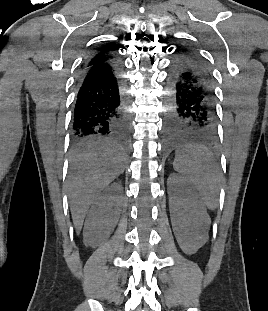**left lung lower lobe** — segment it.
Segmentation results:
<instances>
[{"mask_svg":"<svg viewBox=\"0 0 268 311\" xmlns=\"http://www.w3.org/2000/svg\"><path fill=\"white\" fill-rule=\"evenodd\" d=\"M168 83L166 141H217L215 93L207 63L195 52L183 51L172 61Z\"/></svg>","mask_w":268,"mask_h":311,"instance_id":"obj_1","label":"left lung lower lobe"}]
</instances>
